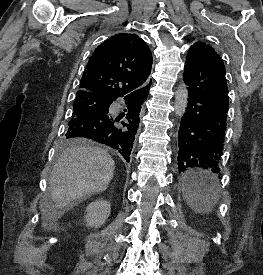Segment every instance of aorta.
<instances>
[{
	"label": "aorta",
	"mask_w": 263,
	"mask_h": 275,
	"mask_svg": "<svg viewBox=\"0 0 263 275\" xmlns=\"http://www.w3.org/2000/svg\"><path fill=\"white\" fill-rule=\"evenodd\" d=\"M188 103V90L187 86L184 83H181L178 86L177 91L175 92V114L178 117H182L185 113Z\"/></svg>",
	"instance_id": "obj_1"
}]
</instances>
